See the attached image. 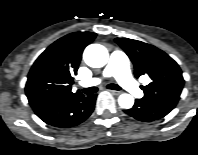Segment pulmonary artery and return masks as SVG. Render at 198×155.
<instances>
[{
    "instance_id": "obj_1",
    "label": "pulmonary artery",
    "mask_w": 198,
    "mask_h": 155,
    "mask_svg": "<svg viewBox=\"0 0 198 155\" xmlns=\"http://www.w3.org/2000/svg\"><path fill=\"white\" fill-rule=\"evenodd\" d=\"M113 77L117 82L122 85L125 89L131 92L137 97H142L143 93L139 88L138 84L132 78L130 69H129V60L128 57L120 52L114 51L109 58L107 66L102 72V78ZM101 82V78H90L80 82V85L83 87H90L97 85Z\"/></svg>"
}]
</instances>
